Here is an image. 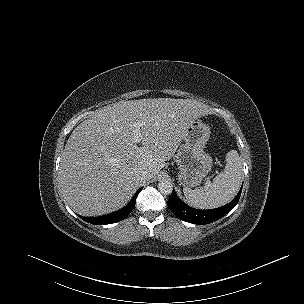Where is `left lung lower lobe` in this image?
Instances as JSON below:
<instances>
[{
  "instance_id": "1",
  "label": "left lung lower lobe",
  "mask_w": 304,
  "mask_h": 304,
  "mask_svg": "<svg viewBox=\"0 0 304 304\" xmlns=\"http://www.w3.org/2000/svg\"><path fill=\"white\" fill-rule=\"evenodd\" d=\"M242 187L230 203L215 209L198 210L191 208L177 197L174 189L167 204L173 214L183 221L198 225L209 224L220 219L236 206L241 195Z\"/></svg>"
}]
</instances>
